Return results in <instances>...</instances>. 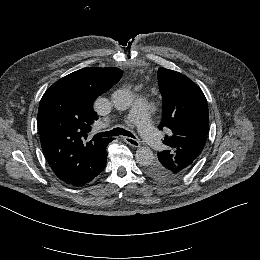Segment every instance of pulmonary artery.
Here are the masks:
<instances>
[{
    "instance_id": "1",
    "label": "pulmonary artery",
    "mask_w": 260,
    "mask_h": 260,
    "mask_svg": "<svg viewBox=\"0 0 260 260\" xmlns=\"http://www.w3.org/2000/svg\"><path fill=\"white\" fill-rule=\"evenodd\" d=\"M150 113V106L145 99H138L135 102V111L126 115V122L129 125L139 124L142 137L148 141L153 151H160L163 148L161 136L156 131Z\"/></svg>"
}]
</instances>
